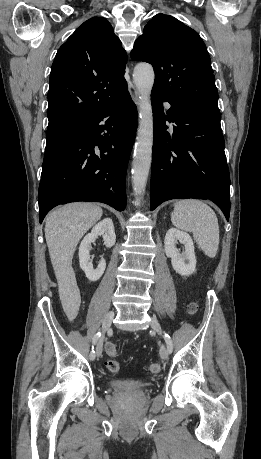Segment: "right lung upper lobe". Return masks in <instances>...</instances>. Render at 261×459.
<instances>
[{
  "label": "right lung upper lobe",
  "mask_w": 261,
  "mask_h": 459,
  "mask_svg": "<svg viewBox=\"0 0 261 459\" xmlns=\"http://www.w3.org/2000/svg\"><path fill=\"white\" fill-rule=\"evenodd\" d=\"M127 55L104 18L93 17L59 48L51 68L48 126L84 123L127 91Z\"/></svg>",
  "instance_id": "obj_1"
}]
</instances>
